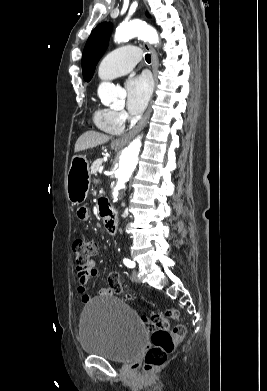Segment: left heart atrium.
<instances>
[{
	"label": "left heart atrium",
	"mask_w": 267,
	"mask_h": 391,
	"mask_svg": "<svg viewBox=\"0 0 267 391\" xmlns=\"http://www.w3.org/2000/svg\"><path fill=\"white\" fill-rule=\"evenodd\" d=\"M127 108L132 114H140L146 107L152 90L146 75L131 77L126 82Z\"/></svg>",
	"instance_id": "left-heart-atrium-1"
}]
</instances>
